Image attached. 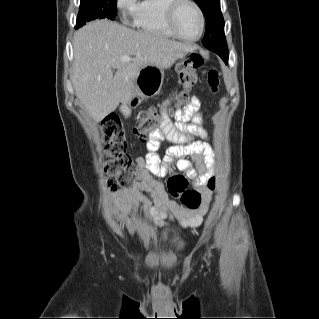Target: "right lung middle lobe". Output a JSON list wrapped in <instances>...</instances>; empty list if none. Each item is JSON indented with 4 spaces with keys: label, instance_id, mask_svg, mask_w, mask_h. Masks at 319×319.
<instances>
[{
    "label": "right lung middle lobe",
    "instance_id": "right-lung-middle-lobe-1",
    "mask_svg": "<svg viewBox=\"0 0 319 319\" xmlns=\"http://www.w3.org/2000/svg\"><path fill=\"white\" fill-rule=\"evenodd\" d=\"M117 14V0H81L75 29L87 21L108 18L113 20Z\"/></svg>",
    "mask_w": 319,
    "mask_h": 319
}]
</instances>
